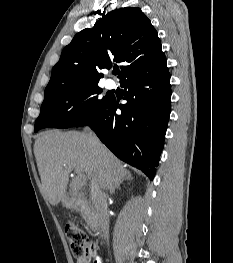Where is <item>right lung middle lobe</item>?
Returning a JSON list of instances; mask_svg holds the SVG:
<instances>
[{
	"instance_id": "1",
	"label": "right lung middle lobe",
	"mask_w": 233,
	"mask_h": 263,
	"mask_svg": "<svg viewBox=\"0 0 233 263\" xmlns=\"http://www.w3.org/2000/svg\"><path fill=\"white\" fill-rule=\"evenodd\" d=\"M102 89L97 84L63 91L44 99L35 122V132L45 127L76 126L105 105L110 97H99Z\"/></svg>"
}]
</instances>
